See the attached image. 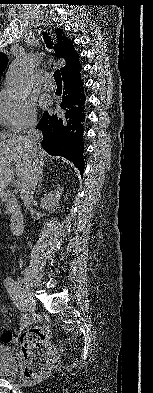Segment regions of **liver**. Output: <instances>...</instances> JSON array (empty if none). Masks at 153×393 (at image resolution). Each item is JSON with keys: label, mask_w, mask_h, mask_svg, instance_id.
<instances>
[{"label": "liver", "mask_w": 153, "mask_h": 393, "mask_svg": "<svg viewBox=\"0 0 153 393\" xmlns=\"http://www.w3.org/2000/svg\"><path fill=\"white\" fill-rule=\"evenodd\" d=\"M45 152L38 147L29 148L26 136H16L0 142V194L11 183L15 175L22 184L30 174L36 161H43ZM43 163V162H42Z\"/></svg>", "instance_id": "6515ba94"}]
</instances>
